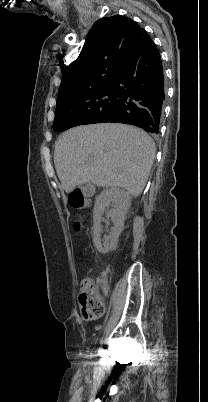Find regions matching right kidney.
Wrapping results in <instances>:
<instances>
[{
	"mask_svg": "<svg viewBox=\"0 0 208 402\" xmlns=\"http://www.w3.org/2000/svg\"><path fill=\"white\" fill-rule=\"evenodd\" d=\"M110 206H112L110 210ZM131 206V196L129 192L120 190V188H106L95 200L93 208V242L98 252L107 254L112 246L118 242V238L124 228L125 214ZM106 218H111L114 228H111L110 236L106 238L105 244L101 242L102 226L101 222L103 212H106ZM109 242V244H108Z\"/></svg>",
	"mask_w": 208,
	"mask_h": 402,
	"instance_id": "right-kidney-1",
	"label": "right kidney"
}]
</instances>
